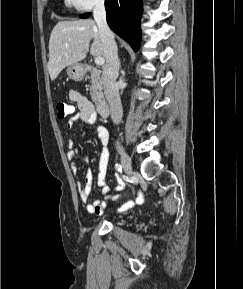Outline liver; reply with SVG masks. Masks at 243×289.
Returning <instances> with one entry per match:
<instances>
[{
	"mask_svg": "<svg viewBox=\"0 0 243 289\" xmlns=\"http://www.w3.org/2000/svg\"><path fill=\"white\" fill-rule=\"evenodd\" d=\"M91 40H93L91 55L104 56L103 42L95 21L92 19L59 21L53 28L49 40L48 71L51 80H55L65 67L84 60ZM66 43L69 44L67 47Z\"/></svg>",
	"mask_w": 243,
	"mask_h": 289,
	"instance_id": "1",
	"label": "liver"
}]
</instances>
